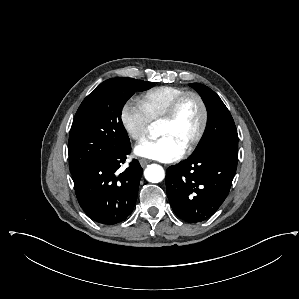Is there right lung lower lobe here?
<instances>
[{"instance_id":"98d812e1","label":"right lung lower lobe","mask_w":299,"mask_h":299,"mask_svg":"<svg viewBox=\"0 0 299 299\" xmlns=\"http://www.w3.org/2000/svg\"><path fill=\"white\" fill-rule=\"evenodd\" d=\"M130 152L129 145L89 163L73 174L80 206L98 223L109 225L121 222L133 210L143 170L134 159L124 172H116Z\"/></svg>"}]
</instances>
